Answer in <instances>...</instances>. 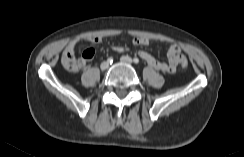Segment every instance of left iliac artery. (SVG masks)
Listing matches in <instances>:
<instances>
[{"instance_id":"44dca946","label":"left iliac artery","mask_w":244,"mask_h":157,"mask_svg":"<svg viewBox=\"0 0 244 157\" xmlns=\"http://www.w3.org/2000/svg\"><path fill=\"white\" fill-rule=\"evenodd\" d=\"M133 61H134L135 64L139 63V59L138 58H134Z\"/></svg>"}]
</instances>
